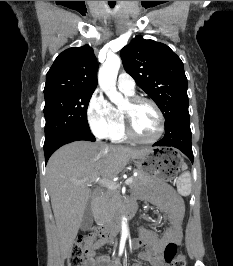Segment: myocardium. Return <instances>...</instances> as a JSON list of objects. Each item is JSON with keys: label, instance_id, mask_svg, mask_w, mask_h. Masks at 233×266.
<instances>
[{"label": "myocardium", "instance_id": "obj_1", "mask_svg": "<svg viewBox=\"0 0 233 266\" xmlns=\"http://www.w3.org/2000/svg\"><path fill=\"white\" fill-rule=\"evenodd\" d=\"M127 102L131 108H134V107H136L140 104H143V103L150 104L155 109V111L158 115V118H159V128H158L157 134L153 138L143 139V138L139 137L134 131L130 112L125 110V109H121L127 137L130 140H132L136 143H140V144H153V143L158 142L161 139V137L163 136L164 131H165L164 114H163L162 110L160 109V107L158 106V104L150 98L140 97V96L130 97L127 100Z\"/></svg>", "mask_w": 233, "mask_h": 266}]
</instances>
